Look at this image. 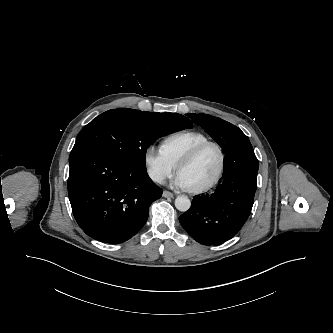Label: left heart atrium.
<instances>
[{"instance_id": "obj_1", "label": "left heart atrium", "mask_w": 333, "mask_h": 333, "mask_svg": "<svg viewBox=\"0 0 333 333\" xmlns=\"http://www.w3.org/2000/svg\"><path fill=\"white\" fill-rule=\"evenodd\" d=\"M174 185L181 189H189L187 183L185 182L183 177L179 174L176 177V179L174 180Z\"/></svg>"}]
</instances>
